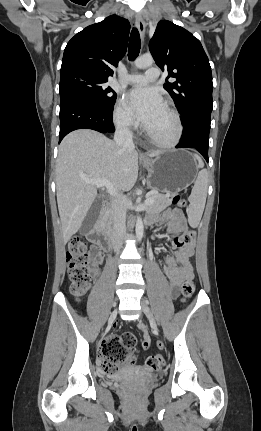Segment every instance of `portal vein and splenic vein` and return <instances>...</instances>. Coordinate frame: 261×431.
Instances as JSON below:
<instances>
[{"mask_svg":"<svg viewBox=\"0 0 261 431\" xmlns=\"http://www.w3.org/2000/svg\"><path fill=\"white\" fill-rule=\"evenodd\" d=\"M85 181L87 183H90V184H93V185L97 186L98 188L106 187L108 193L111 196H116L117 195L116 189L111 185V183L107 179H96V180L86 179ZM153 201H154L153 198L148 197L145 200V204L146 205H150V204L153 203Z\"/></svg>","mask_w":261,"mask_h":431,"instance_id":"1","label":"portal vein and splenic vein"}]
</instances>
